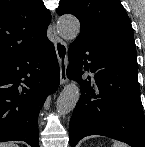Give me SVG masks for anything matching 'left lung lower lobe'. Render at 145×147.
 Masks as SVG:
<instances>
[{"mask_svg": "<svg viewBox=\"0 0 145 147\" xmlns=\"http://www.w3.org/2000/svg\"><path fill=\"white\" fill-rule=\"evenodd\" d=\"M68 58L67 76L81 87L69 125L71 147L89 135L107 136L131 147H145L136 48L77 38L70 45ZM85 71L94 76L83 80Z\"/></svg>", "mask_w": 145, "mask_h": 147, "instance_id": "left-lung-lower-lobe-1", "label": "left lung lower lobe"}]
</instances>
